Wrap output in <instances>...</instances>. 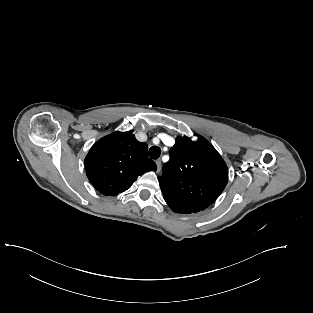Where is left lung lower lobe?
<instances>
[{
    "instance_id": "0a47b994",
    "label": "left lung lower lobe",
    "mask_w": 313,
    "mask_h": 313,
    "mask_svg": "<svg viewBox=\"0 0 313 313\" xmlns=\"http://www.w3.org/2000/svg\"><path fill=\"white\" fill-rule=\"evenodd\" d=\"M165 201L168 204V206L176 213H183V214L193 213L191 210H189L183 206L177 205V204L169 202L167 200H165Z\"/></svg>"
}]
</instances>
